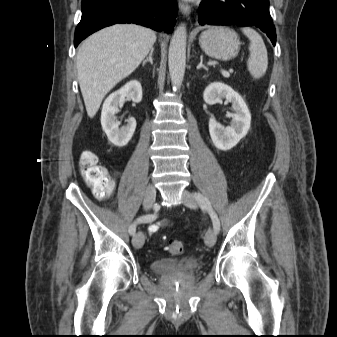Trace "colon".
<instances>
[{
	"mask_svg": "<svg viewBox=\"0 0 337 337\" xmlns=\"http://www.w3.org/2000/svg\"><path fill=\"white\" fill-rule=\"evenodd\" d=\"M79 168L96 198L105 199L111 195L114 189L113 180L99 164L97 155L93 151L84 150L81 153ZM166 248L172 254H179L183 249V244L180 240H168Z\"/></svg>",
	"mask_w": 337,
	"mask_h": 337,
	"instance_id": "5ec220e1",
	"label": "colon"
}]
</instances>
